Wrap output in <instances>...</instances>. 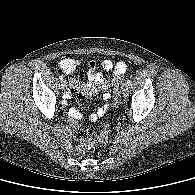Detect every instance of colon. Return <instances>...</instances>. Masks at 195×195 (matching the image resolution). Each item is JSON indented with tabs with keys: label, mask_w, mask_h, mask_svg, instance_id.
Masks as SVG:
<instances>
[{
	"label": "colon",
	"mask_w": 195,
	"mask_h": 195,
	"mask_svg": "<svg viewBox=\"0 0 195 195\" xmlns=\"http://www.w3.org/2000/svg\"><path fill=\"white\" fill-rule=\"evenodd\" d=\"M114 106H117L120 101V90H119V80L115 83L113 89ZM73 135L74 138L81 144L78 146V151L81 153H86L91 146V138L89 136L88 130L84 126L73 125ZM109 138V125L105 124L101 134L95 138L98 143H106Z\"/></svg>",
	"instance_id": "1"
}]
</instances>
